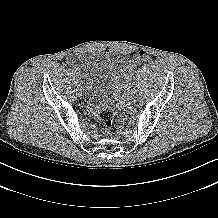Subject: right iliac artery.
Listing matches in <instances>:
<instances>
[{
    "mask_svg": "<svg viewBox=\"0 0 218 218\" xmlns=\"http://www.w3.org/2000/svg\"><path fill=\"white\" fill-rule=\"evenodd\" d=\"M73 72H74V74H78L77 77H78V76L80 77V74H79V72L77 71V69H74Z\"/></svg>",
    "mask_w": 218,
    "mask_h": 218,
    "instance_id": "82829eb1",
    "label": "right iliac artery"
}]
</instances>
